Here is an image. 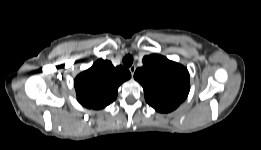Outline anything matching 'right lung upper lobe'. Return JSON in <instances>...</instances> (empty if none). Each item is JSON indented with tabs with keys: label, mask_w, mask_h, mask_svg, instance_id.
<instances>
[{
	"label": "right lung upper lobe",
	"mask_w": 261,
	"mask_h": 150,
	"mask_svg": "<svg viewBox=\"0 0 261 150\" xmlns=\"http://www.w3.org/2000/svg\"><path fill=\"white\" fill-rule=\"evenodd\" d=\"M130 72L110 61L98 60L74 81L78 102L89 109H102L117 97L118 87L130 79Z\"/></svg>",
	"instance_id": "cb5924a9"
}]
</instances>
